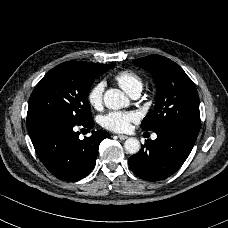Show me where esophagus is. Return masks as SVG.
Instances as JSON below:
<instances>
[{
	"instance_id": "obj_1",
	"label": "esophagus",
	"mask_w": 228,
	"mask_h": 228,
	"mask_svg": "<svg viewBox=\"0 0 228 228\" xmlns=\"http://www.w3.org/2000/svg\"><path fill=\"white\" fill-rule=\"evenodd\" d=\"M117 136L120 140H126L128 138L127 135H123V134H118Z\"/></svg>"
}]
</instances>
